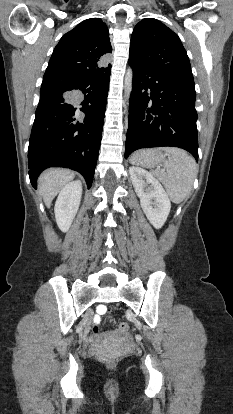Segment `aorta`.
I'll return each instance as SVG.
<instances>
[{
	"instance_id": "1",
	"label": "aorta",
	"mask_w": 233,
	"mask_h": 414,
	"mask_svg": "<svg viewBox=\"0 0 233 414\" xmlns=\"http://www.w3.org/2000/svg\"><path fill=\"white\" fill-rule=\"evenodd\" d=\"M132 82H133V72L132 69H128L125 75L124 87H125V96L128 101L131 91H132Z\"/></svg>"
}]
</instances>
